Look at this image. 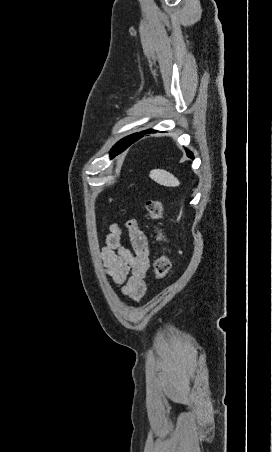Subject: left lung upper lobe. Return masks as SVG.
Listing matches in <instances>:
<instances>
[{"label":"left lung upper lobe","instance_id":"5c2ea615","mask_svg":"<svg viewBox=\"0 0 272 452\" xmlns=\"http://www.w3.org/2000/svg\"><path fill=\"white\" fill-rule=\"evenodd\" d=\"M134 135H135V134L130 135V136H128V137H125V138L120 142L121 148L126 149V148L128 147V145H127L128 141H129Z\"/></svg>","mask_w":272,"mask_h":452}]
</instances>
